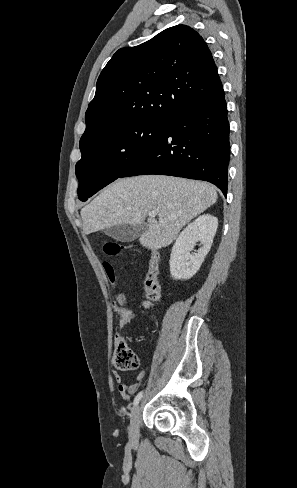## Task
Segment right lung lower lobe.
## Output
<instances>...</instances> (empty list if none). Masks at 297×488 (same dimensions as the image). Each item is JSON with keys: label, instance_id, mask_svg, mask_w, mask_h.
<instances>
[{"label": "right lung lower lobe", "instance_id": "98d812e1", "mask_svg": "<svg viewBox=\"0 0 297 488\" xmlns=\"http://www.w3.org/2000/svg\"><path fill=\"white\" fill-rule=\"evenodd\" d=\"M230 157L224 90L182 109L154 144L120 177L159 174L204 180L226 197Z\"/></svg>", "mask_w": 297, "mask_h": 488}]
</instances>
